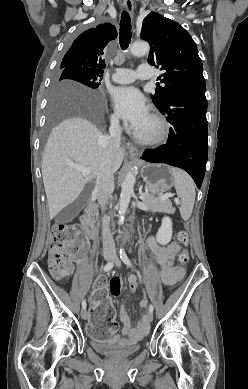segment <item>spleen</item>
<instances>
[{"instance_id":"obj_1","label":"spleen","mask_w":248,"mask_h":389,"mask_svg":"<svg viewBox=\"0 0 248 389\" xmlns=\"http://www.w3.org/2000/svg\"><path fill=\"white\" fill-rule=\"evenodd\" d=\"M171 174L174 187L181 199L180 215L183 220H188L192 214L196 196L194 182L182 169L172 167Z\"/></svg>"}]
</instances>
